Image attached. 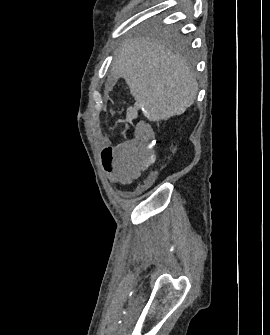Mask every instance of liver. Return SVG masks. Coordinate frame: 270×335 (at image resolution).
Returning <instances> with one entry per match:
<instances>
[{
  "instance_id": "obj_1",
  "label": "liver",
  "mask_w": 270,
  "mask_h": 335,
  "mask_svg": "<svg viewBox=\"0 0 270 335\" xmlns=\"http://www.w3.org/2000/svg\"><path fill=\"white\" fill-rule=\"evenodd\" d=\"M112 72L124 78L150 122L181 116L198 92L185 60L150 38H132L119 48Z\"/></svg>"
}]
</instances>
